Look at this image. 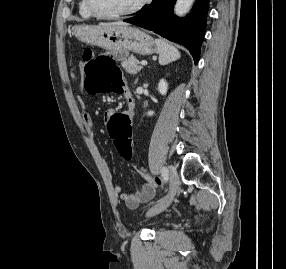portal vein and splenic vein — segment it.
<instances>
[{
	"mask_svg": "<svg viewBox=\"0 0 286 269\" xmlns=\"http://www.w3.org/2000/svg\"><path fill=\"white\" fill-rule=\"evenodd\" d=\"M147 64V61L143 60L141 61V65H146Z\"/></svg>",
	"mask_w": 286,
	"mask_h": 269,
	"instance_id": "1",
	"label": "portal vein and splenic vein"
}]
</instances>
